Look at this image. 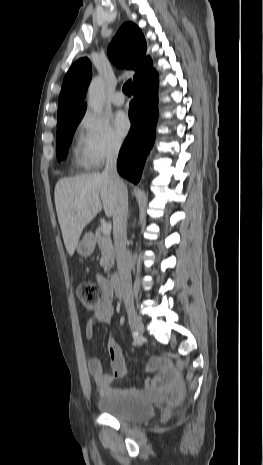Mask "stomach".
<instances>
[{
	"label": "stomach",
	"instance_id": "obj_1",
	"mask_svg": "<svg viewBox=\"0 0 263 465\" xmlns=\"http://www.w3.org/2000/svg\"><path fill=\"white\" fill-rule=\"evenodd\" d=\"M95 249V239L91 233H86L78 242L76 250L82 257L90 256Z\"/></svg>",
	"mask_w": 263,
	"mask_h": 465
}]
</instances>
